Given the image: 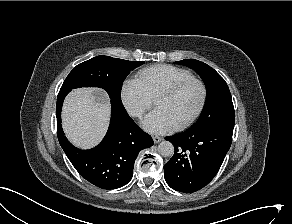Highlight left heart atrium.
<instances>
[{"label": "left heart atrium", "instance_id": "39dd6f15", "mask_svg": "<svg viewBox=\"0 0 292 224\" xmlns=\"http://www.w3.org/2000/svg\"><path fill=\"white\" fill-rule=\"evenodd\" d=\"M142 127L150 133L162 134L171 131L175 125L162 109L157 108L144 118Z\"/></svg>", "mask_w": 292, "mask_h": 224}]
</instances>
